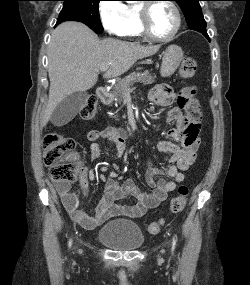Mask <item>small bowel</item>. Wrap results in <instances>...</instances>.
I'll return each mask as SVG.
<instances>
[{
    "mask_svg": "<svg viewBox=\"0 0 250 285\" xmlns=\"http://www.w3.org/2000/svg\"><path fill=\"white\" fill-rule=\"evenodd\" d=\"M149 100L157 106H169L177 99V106L173 107L166 116L167 122H174L175 126L168 131L174 141L161 140L157 142L160 152L170 155L167 174L170 180L156 179L161 173L158 168H150L146 183L151 192L141 191L133 181L128 180L119 184L115 179L101 176L105 183L103 196L95 208L94 214L89 215L80 208L78 196L70 190L68 183L57 182L56 189L62 203L71 218L83 228L91 230L114 217L140 218L149 209L157 207L163 202L168 193L174 191L178 183L185 180L184 171L195 161L196 150L199 145V124H193L183 112L182 97H176L172 89L166 85H156L149 92ZM129 133L125 129L106 127L102 130H90L86 137L90 142V157L97 160L102 154L100 140H106L115 145L117 157H122L126 151V139ZM79 185L83 195L87 194L89 172L83 162L79 160L77 167ZM125 196L136 199L133 205L119 204Z\"/></svg>",
    "mask_w": 250,
    "mask_h": 285,
    "instance_id": "c3829d8e",
    "label": "small bowel"
}]
</instances>
